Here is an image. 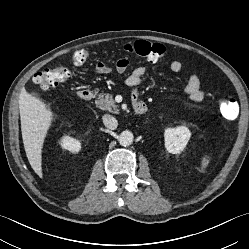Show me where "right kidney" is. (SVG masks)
<instances>
[{
    "mask_svg": "<svg viewBox=\"0 0 249 249\" xmlns=\"http://www.w3.org/2000/svg\"><path fill=\"white\" fill-rule=\"evenodd\" d=\"M60 145L63 149L72 153H77L81 149V142L69 136H64L60 141Z\"/></svg>",
    "mask_w": 249,
    "mask_h": 249,
    "instance_id": "right-kidney-1",
    "label": "right kidney"
}]
</instances>
